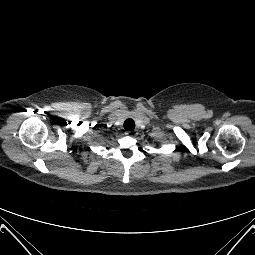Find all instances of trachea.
<instances>
[{
    "label": "trachea",
    "mask_w": 255,
    "mask_h": 255,
    "mask_svg": "<svg viewBox=\"0 0 255 255\" xmlns=\"http://www.w3.org/2000/svg\"><path fill=\"white\" fill-rule=\"evenodd\" d=\"M124 128L127 131H133L135 129V122L133 119H127L124 122Z\"/></svg>",
    "instance_id": "obj_1"
}]
</instances>
